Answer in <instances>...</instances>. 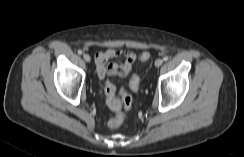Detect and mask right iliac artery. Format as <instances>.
<instances>
[{"mask_svg":"<svg viewBox=\"0 0 244 157\" xmlns=\"http://www.w3.org/2000/svg\"><path fill=\"white\" fill-rule=\"evenodd\" d=\"M82 53H83V51H82V50H78V54H80V55H81Z\"/></svg>","mask_w":244,"mask_h":157,"instance_id":"right-iliac-artery-1","label":"right iliac artery"}]
</instances>
